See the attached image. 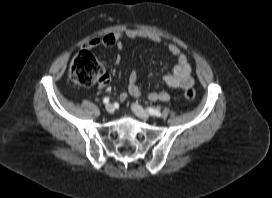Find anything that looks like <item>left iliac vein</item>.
<instances>
[{"label": "left iliac vein", "instance_id": "1", "mask_svg": "<svg viewBox=\"0 0 272 198\" xmlns=\"http://www.w3.org/2000/svg\"><path fill=\"white\" fill-rule=\"evenodd\" d=\"M131 109L142 120H145V121L149 120V118H150L149 113L144 108H142L140 105L133 103L131 105Z\"/></svg>", "mask_w": 272, "mask_h": 198}]
</instances>
